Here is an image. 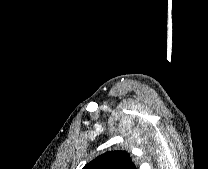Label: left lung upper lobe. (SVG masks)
Listing matches in <instances>:
<instances>
[{
    "mask_svg": "<svg viewBox=\"0 0 208 169\" xmlns=\"http://www.w3.org/2000/svg\"><path fill=\"white\" fill-rule=\"evenodd\" d=\"M83 169H137L126 151H109L89 163Z\"/></svg>",
    "mask_w": 208,
    "mask_h": 169,
    "instance_id": "obj_1",
    "label": "left lung upper lobe"
}]
</instances>
